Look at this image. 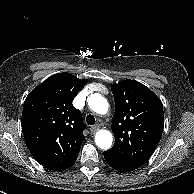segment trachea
<instances>
[{
	"instance_id": "3493384b",
	"label": "trachea",
	"mask_w": 194,
	"mask_h": 194,
	"mask_svg": "<svg viewBox=\"0 0 194 194\" xmlns=\"http://www.w3.org/2000/svg\"><path fill=\"white\" fill-rule=\"evenodd\" d=\"M86 122L88 125H94L95 124V118L93 115L89 114L86 117Z\"/></svg>"
}]
</instances>
